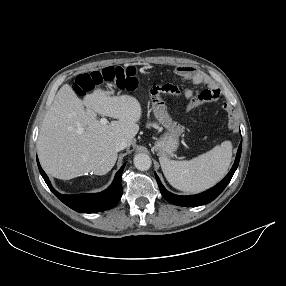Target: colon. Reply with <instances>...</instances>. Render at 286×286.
Listing matches in <instances>:
<instances>
[{
    "instance_id": "5ec220e1",
    "label": "colon",
    "mask_w": 286,
    "mask_h": 286,
    "mask_svg": "<svg viewBox=\"0 0 286 286\" xmlns=\"http://www.w3.org/2000/svg\"><path fill=\"white\" fill-rule=\"evenodd\" d=\"M113 84L123 90H133L138 85V78L133 67H105L98 71L80 74L75 83L76 91L79 95H85L95 88ZM177 89L170 84L156 86L152 90L150 101L153 106V113L161 128L166 132L173 134L179 139H185L189 135L187 127L180 122L175 121L166 111L165 101L162 93L175 94ZM200 97H196L195 101H200Z\"/></svg>"
}]
</instances>
